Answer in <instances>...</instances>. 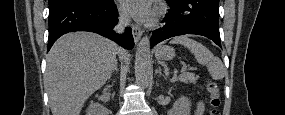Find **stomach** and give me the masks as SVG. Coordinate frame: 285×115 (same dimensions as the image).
<instances>
[{"label":"stomach","mask_w":285,"mask_h":115,"mask_svg":"<svg viewBox=\"0 0 285 115\" xmlns=\"http://www.w3.org/2000/svg\"><path fill=\"white\" fill-rule=\"evenodd\" d=\"M155 56L159 60H172L175 57V51L169 46H160L155 50Z\"/></svg>","instance_id":"obj_1"}]
</instances>
